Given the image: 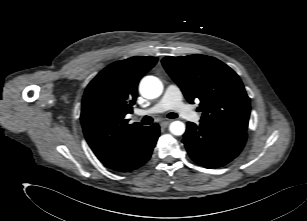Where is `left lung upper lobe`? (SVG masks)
<instances>
[{
  "mask_svg": "<svg viewBox=\"0 0 307 221\" xmlns=\"http://www.w3.org/2000/svg\"><path fill=\"white\" fill-rule=\"evenodd\" d=\"M162 64L189 103L200 100V123L246 131L250 99L239 76L220 60L205 55L165 57Z\"/></svg>",
  "mask_w": 307,
  "mask_h": 221,
  "instance_id": "left-lung-upper-lobe-1",
  "label": "left lung upper lobe"
}]
</instances>
